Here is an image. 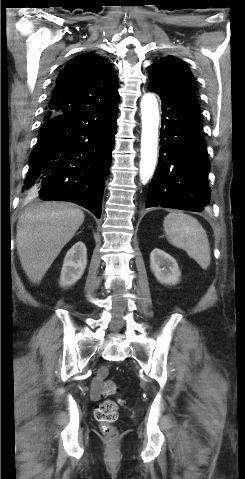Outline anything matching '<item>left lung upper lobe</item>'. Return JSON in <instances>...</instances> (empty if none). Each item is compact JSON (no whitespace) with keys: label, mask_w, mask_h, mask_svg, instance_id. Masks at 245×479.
Instances as JSON below:
<instances>
[{"label":"left lung upper lobe","mask_w":245,"mask_h":479,"mask_svg":"<svg viewBox=\"0 0 245 479\" xmlns=\"http://www.w3.org/2000/svg\"><path fill=\"white\" fill-rule=\"evenodd\" d=\"M150 82L162 90H178L186 86L197 89L189 68L179 58L171 55L153 63L150 69Z\"/></svg>","instance_id":"5c2ea615"}]
</instances>
